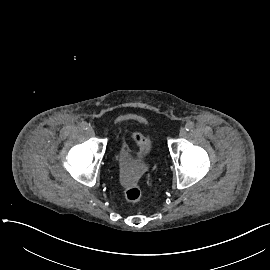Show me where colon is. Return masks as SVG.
I'll return each mask as SVG.
<instances>
[{
    "instance_id": "obj_1",
    "label": "colon",
    "mask_w": 270,
    "mask_h": 270,
    "mask_svg": "<svg viewBox=\"0 0 270 270\" xmlns=\"http://www.w3.org/2000/svg\"><path fill=\"white\" fill-rule=\"evenodd\" d=\"M131 140L133 144L140 150H149L152 146L151 139L140 131H133L131 133ZM129 164L128 158L122 159L123 171L121 174V183L124 188V198L129 203H137L142 197V191L138 183V174L127 168Z\"/></svg>"
}]
</instances>
